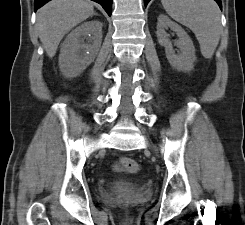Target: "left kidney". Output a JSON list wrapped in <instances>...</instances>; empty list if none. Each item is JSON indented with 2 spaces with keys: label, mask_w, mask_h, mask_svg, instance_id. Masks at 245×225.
<instances>
[{
  "label": "left kidney",
  "mask_w": 245,
  "mask_h": 225,
  "mask_svg": "<svg viewBox=\"0 0 245 225\" xmlns=\"http://www.w3.org/2000/svg\"><path fill=\"white\" fill-rule=\"evenodd\" d=\"M166 28H170L178 36V40L175 41V45L181 51L178 55L175 54L172 43L165 32ZM156 34L159 44L165 48L166 57L170 65L178 71H191L196 60L195 47L185 30L177 23L171 21L166 15L160 14Z\"/></svg>",
  "instance_id": "obj_1"
}]
</instances>
